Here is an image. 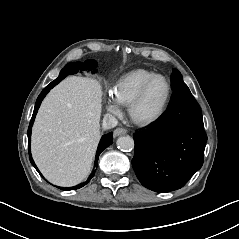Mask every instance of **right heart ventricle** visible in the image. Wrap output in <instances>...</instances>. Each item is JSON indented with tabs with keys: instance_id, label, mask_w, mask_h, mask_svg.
Returning <instances> with one entry per match:
<instances>
[{
	"instance_id": "right-heart-ventricle-1",
	"label": "right heart ventricle",
	"mask_w": 239,
	"mask_h": 239,
	"mask_svg": "<svg viewBox=\"0 0 239 239\" xmlns=\"http://www.w3.org/2000/svg\"><path fill=\"white\" fill-rule=\"evenodd\" d=\"M155 75L156 72L145 68H137L121 75L112 83V98L121 106H129L142 85Z\"/></svg>"
}]
</instances>
